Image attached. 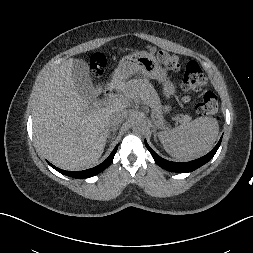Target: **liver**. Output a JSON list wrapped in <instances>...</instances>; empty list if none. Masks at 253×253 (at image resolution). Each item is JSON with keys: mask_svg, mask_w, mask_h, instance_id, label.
Instances as JSON below:
<instances>
[{"mask_svg": "<svg viewBox=\"0 0 253 253\" xmlns=\"http://www.w3.org/2000/svg\"><path fill=\"white\" fill-rule=\"evenodd\" d=\"M74 59L63 62L51 74L33 108V131L40 151L54 165L78 171L94 166L109 137V117L115 111H127L134 101L145 100L147 88L128 80L129 71L115 74L104 89L121 95L104 107L84 99L72 78ZM103 91L95 89V96Z\"/></svg>", "mask_w": 253, "mask_h": 253, "instance_id": "obj_1", "label": "liver"}]
</instances>
